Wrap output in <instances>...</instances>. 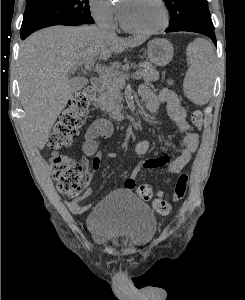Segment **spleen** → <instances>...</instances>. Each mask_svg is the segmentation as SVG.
<instances>
[{
	"label": "spleen",
	"mask_w": 245,
	"mask_h": 300,
	"mask_svg": "<svg viewBox=\"0 0 245 300\" xmlns=\"http://www.w3.org/2000/svg\"><path fill=\"white\" fill-rule=\"evenodd\" d=\"M189 69L183 82L184 94L196 105L206 104L212 93L214 80V50L211 43L196 39L187 48Z\"/></svg>",
	"instance_id": "1"
}]
</instances>
